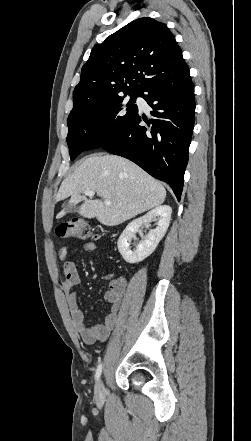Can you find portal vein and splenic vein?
<instances>
[{
    "label": "portal vein and splenic vein",
    "instance_id": "18ae733b",
    "mask_svg": "<svg viewBox=\"0 0 251 441\" xmlns=\"http://www.w3.org/2000/svg\"><path fill=\"white\" fill-rule=\"evenodd\" d=\"M86 196L92 197L95 195V192L93 190H86L83 192ZM105 205H110L111 201L110 200H105L104 201Z\"/></svg>",
    "mask_w": 251,
    "mask_h": 441
}]
</instances>
